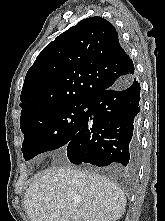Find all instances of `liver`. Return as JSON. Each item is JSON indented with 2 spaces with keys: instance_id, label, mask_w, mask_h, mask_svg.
I'll return each mask as SVG.
<instances>
[{
  "instance_id": "obj_1",
  "label": "liver",
  "mask_w": 165,
  "mask_h": 221,
  "mask_svg": "<svg viewBox=\"0 0 165 221\" xmlns=\"http://www.w3.org/2000/svg\"><path fill=\"white\" fill-rule=\"evenodd\" d=\"M126 202L109 178L67 167L38 173L24 195L30 221H113L124 214Z\"/></svg>"
}]
</instances>
